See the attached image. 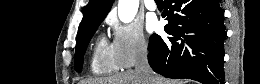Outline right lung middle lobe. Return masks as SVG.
<instances>
[{"instance_id": "obj_1", "label": "right lung middle lobe", "mask_w": 260, "mask_h": 84, "mask_svg": "<svg viewBox=\"0 0 260 84\" xmlns=\"http://www.w3.org/2000/svg\"><path fill=\"white\" fill-rule=\"evenodd\" d=\"M102 21H98L90 25L86 30L77 36L76 50H75V69L81 72L83 65V56L85 54L87 45L94 35L96 29Z\"/></svg>"}]
</instances>
